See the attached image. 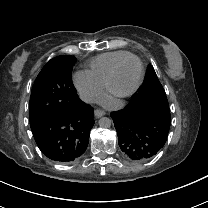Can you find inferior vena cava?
I'll return each instance as SVG.
<instances>
[{"mask_svg":"<svg viewBox=\"0 0 208 208\" xmlns=\"http://www.w3.org/2000/svg\"><path fill=\"white\" fill-rule=\"evenodd\" d=\"M79 96L81 100H83L86 103H92L94 96L89 92H80Z\"/></svg>","mask_w":208,"mask_h":208,"instance_id":"obj_1","label":"inferior vena cava"}]
</instances>
